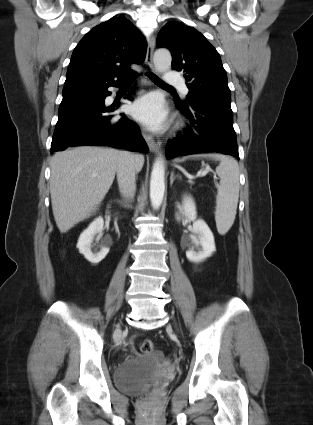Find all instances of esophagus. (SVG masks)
I'll return each mask as SVG.
<instances>
[{
	"mask_svg": "<svg viewBox=\"0 0 313 425\" xmlns=\"http://www.w3.org/2000/svg\"><path fill=\"white\" fill-rule=\"evenodd\" d=\"M154 47H155V40H154L153 37H151L149 39V42H148L145 63L152 71H154V65H153ZM142 135H143V138L145 139L150 151H155L156 150V143H155V140L152 137V135H150L149 133H147L145 131L142 132Z\"/></svg>",
	"mask_w": 313,
	"mask_h": 425,
	"instance_id": "34e87169",
	"label": "esophagus"
}]
</instances>
